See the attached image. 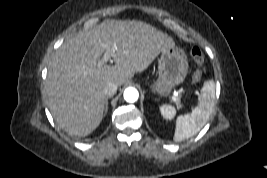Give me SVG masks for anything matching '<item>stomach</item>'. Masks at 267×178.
<instances>
[{"label": "stomach", "instance_id": "1", "mask_svg": "<svg viewBox=\"0 0 267 178\" xmlns=\"http://www.w3.org/2000/svg\"><path fill=\"white\" fill-rule=\"evenodd\" d=\"M187 71L188 60L184 50L175 45L167 47L160 52L158 78L150 88L166 96L184 81Z\"/></svg>", "mask_w": 267, "mask_h": 178}]
</instances>
